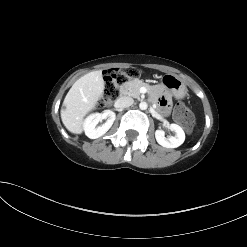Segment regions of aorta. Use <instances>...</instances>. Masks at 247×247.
Returning a JSON list of instances; mask_svg holds the SVG:
<instances>
[{
  "instance_id": "762f6f07",
  "label": "aorta",
  "mask_w": 247,
  "mask_h": 247,
  "mask_svg": "<svg viewBox=\"0 0 247 247\" xmlns=\"http://www.w3.org/2000/svg\"><path fill=\"white\" fill-rule=\"evenodd\" d=\"M147 107H148V104H147L146 102H141V103L139 104V108H140L141 110H146Z\"/></svg>"
}]
</instances>
